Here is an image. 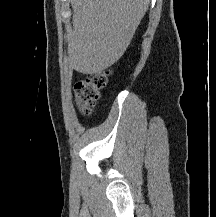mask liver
<instances>
[{"instance_id":"obj_1","label":"liver","mask_w":216,"mask_h":217,"mask_svg":"<svg viewBox=\"0 0 216 217\" xmlns=\"http://www.w3.org/2000/svg\"><path fill=\"white\" fill-rule=\"evenodd\" d=\"M69 61L83 74H98L124 54L150 0H71Z\"/></svg>"}]
</instances>
